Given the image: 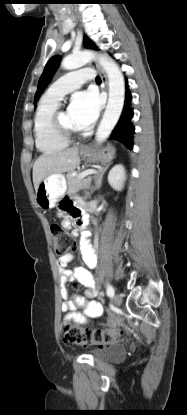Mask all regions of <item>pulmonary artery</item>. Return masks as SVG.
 I'll list each match as a JSON object with an SVG mask.
<instances>
[{"label":"pulmonary artery","mask_w":187,"mask_h":415,"mask_svg":"<svg viewBox=\"0 0 187 415\" xmlns=\"http://www.w3.org/2000/svg\"><path fill=\"white\" fill-rule=\"evenodd\" d=\"M95 73L92 68L72 71L56 82L47 90L46 97L50 100L59 101L66 94L78 89L83 83L94 80Z\"/></svg>","instance_id":"obj_1"}]
</instances>
